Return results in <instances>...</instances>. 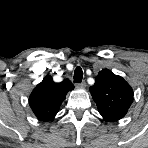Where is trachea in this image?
I'll return each instance as SVG.
<instances>
[{
  "instance_id": "1",
  "label": "trachea",
  "mask_w": 148,
  "mask_h": 148,
  "mask_svg": "<svg viewBox=\"0 0 148 148\" xmlns=\"http://www.w3.org/2000/svg\"><path fill=\"white\" fill-rule=\"evenodd\" d=\"M82 79H83V71L81 67L78 66L74 71V82L81 83Z\"/></svg>"
}]
</instances>
